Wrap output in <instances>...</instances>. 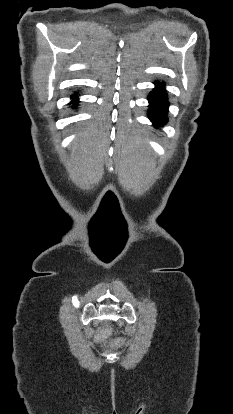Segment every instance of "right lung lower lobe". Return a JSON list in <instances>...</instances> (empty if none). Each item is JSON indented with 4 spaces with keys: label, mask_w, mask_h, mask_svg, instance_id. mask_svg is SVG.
Segmentation results:
<instances>
[{
    "label": "right lung lower lobe",
    "mask_w": 233,
    "mask_h": 414,
    "mask_svg": "<svg viewBox=\"0 0 233 414\" xmlns=\"http://www.w3.org/2000/svg\"><path fill=\"white\" fill-rule=\"evenodd\" d=\"M73 98V100H72V102L71 103H73L74 105H76L77 104V99H78V95L76 94L75 96H73L72 97ZM72 108H75V106H72Z\"/></svg>",
    "instance_id": "right-lung-lower-lobe-1"
}]
</instances>
